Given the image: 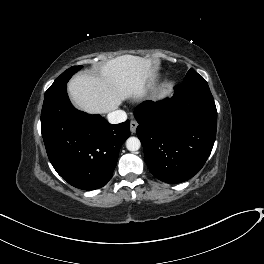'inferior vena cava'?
Returning <instances> with one entry per match:
<instances>
[{
  "label": "inferior vena cava",
  "mask_w": 264,
  "mask_h": 264,
  "mask_svg": "<svg viewBox=\"0 0 264 264\" xmlns=\"http://www.w3.org/2000/svg\"><path fill=\"white\" fill-rule=\"evenodd\" d=\"M107 119H108V122L111 124H118V123L126 121L127 114L123 110H115L108 114Z\"/></svg>",
  "instance_id": "inferior-vena-cava-1"
}]
</instances>
